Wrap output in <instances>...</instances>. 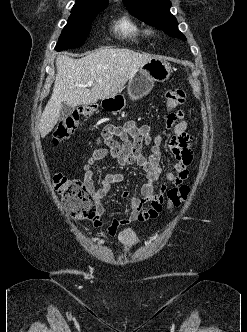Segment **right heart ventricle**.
Masks as SVG:
<instances>
[{
  "label": "right heart ventricle",
  "mask_w": 247,
  "mask_h": 332,
  "mask_svg": "<svg viewBox=\"0 0 247 332\" xmlns=\"http://www.w3.org/2000/svg\"><path fill=\"white\" fill-rule=\"evenodd\" d=\"M114 32L120 38L134 43H139L144 36V30L128 17H123L115 23Z\"/></svg>",
  "instance_id": "obj_1"
}]
</instances>
